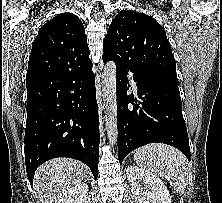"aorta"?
Segmentation results:
<instances>
[{
    "label": "aorta",
    "mask_w": 222,
    "mask_h": 203,
    "mask_svg": "<svg viewBox=\"0 0 222 203\" xmlns=\"http://www.w3.org/2000/svg\"><path fill=\"white\" fill-rule=\"evenodd\" d=\"M102 96L105 106V125L110 144L117 143L116 64L106 63L102 73Z\"/></svg>",
    "instance_id": "aorta-1"
}]
</instances>
